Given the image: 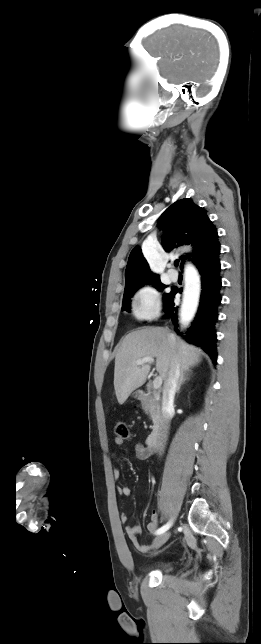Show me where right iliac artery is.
Here are the masks:
<instances>
[{
  "label": "right iliac artery",
  "mask_w": 261,
  "mask_h": 644,
  "mask_svg": "<svg viewBox=\"0 0 261 644\" xmlns=\"http://www.w3.org/2000/svg\"><path fill=\"white\" fill-rule=\"evenodd\" d=\"M171 524H172L171 522H168L167 524H165L164 526H162L161 528H159V529L155 532V534H156V535H160V534L164 533L165 531H167V530L170 528Z\"/></svg>",
  "instance_id": "1"
}]
</instances>
